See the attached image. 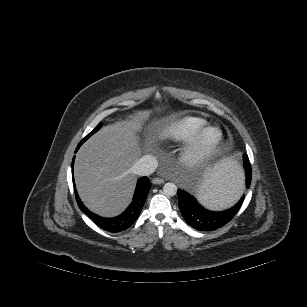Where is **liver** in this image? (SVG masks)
I'll use <instances>...</instances> for the list:
<instances>
[{"instance_id":"obj_1","label":"liver","mask_w":307,"mask_h":307,"mask_svg":"<svg viewBox=\"0 0 307 307\" xmlns=\"http://www.w3.org/2000/svg\"><path fill=\"white\" fill-rule=\"evenodd\" d=\"M146 116L138 112L135 119L104 126L76 154L74 178L79 196L100 216L120 214L132 199L137 181L132 167L153 142L150 138L142 142L138 135Z\"/></svg>"}]
</instances>
